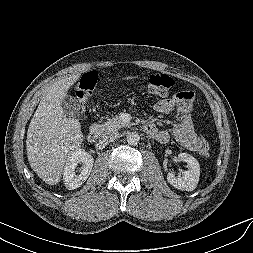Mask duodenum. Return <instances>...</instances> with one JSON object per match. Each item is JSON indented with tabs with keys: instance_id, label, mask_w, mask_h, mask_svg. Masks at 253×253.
<instances>
[{
	"instance_id": "duodenum-1",
	"label": "duodenum",
	"mask_w": 253,
	"mask_h": 253,
	"mask_svg": "<svg viewBox=\"0 0 253 253\" xmlns=\"http://www.w3.org/2000/svg\"><path fill=\"white\" fill-rule=\"evenodd\" d=\"M99 132H100V129L97 125H92L88 131V140L90 142H95L97 141V139L99 138Z\"/></svg>"
}]
</instances>
